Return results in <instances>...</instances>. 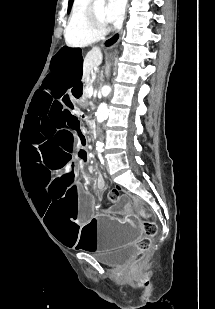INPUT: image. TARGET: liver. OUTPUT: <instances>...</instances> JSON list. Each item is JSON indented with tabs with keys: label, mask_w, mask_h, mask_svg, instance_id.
Wrapping results in <instances>:
<instances>
[{
	"label": "liver",
	"mask_w": 215,
	"mask_h": 309,
	"mask_svg": "<svg viewBox=\"0 0 215 309\" xmlns=\"http://www.w3.org/2000/svg\"><path fill=\"white\" fill-rule=\"evenodd\" d=\"M102 58L103 56L99 46H93V48L87 52L83 62L82 80H86V78H88L94 66H99V64H101Z\"/></svg>",
	"instance_id": "6515ba94"
}]
</instances>
